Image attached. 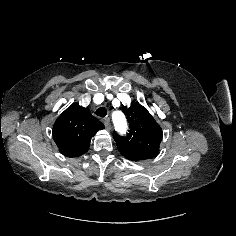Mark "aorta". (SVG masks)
Here are the masks:
<instances>
[{"label":"aorta","instance_id":"aorta-1","mask_svg":"<svg viewBox=\"0 0 236 236\" xmlns=\"http://www.w3.org/2000/svg\"><path fill=\"white\" fill-rule=\"evenodd\" d=\"M113 123L115 126V129L121 133L126 132L127 130V120L125 115L120 112L116 111L112 115Z\"/></svg>","mask_w":236,"mask_h":236}]
</instances>
